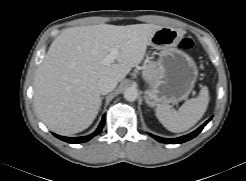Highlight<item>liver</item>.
Returning <instances> with one entry per match:
<instances>
[{"label": "liver", "instance_id": "liver-1", "mask_svg": "<svg viewBox=\"0 0 246 181\" xmlns=\"http://www.w3.org/2000/svg\"><path fill=\"white\" fill-rule=\"evenodd\" d=\"M154 24H99L67 28L57 36L38 66L34 106L45 125L61 135L87 129L100 108L97 83L102 76L122 81L138 66L153 34ZM116 47L117 63L103 60Z\"/></svg>", "mask_w": 246, "mask_h": 181}]
</instances>
